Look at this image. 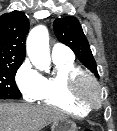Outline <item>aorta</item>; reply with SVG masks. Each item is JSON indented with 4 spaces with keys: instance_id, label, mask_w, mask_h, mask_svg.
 Wrapping results in <instances>:
<instances>
[{
    "instance_id": "762f6f07",
    "label": "aorta",
    "mask_w": 117,
    "mask_h": 131,
    "mask_svg": "<svg viewBox=\"0 0 117 131\" xmlns=\"http://www.w3.org/2000/svg\"><path fill=\"white\" fill-rule=\"evenodd\" d=\"M26 50L35 68L49 72L51 58L49 51V33L46 26L38 25L30 31L26 41Z\"/></svg>"
}]
</instances>
